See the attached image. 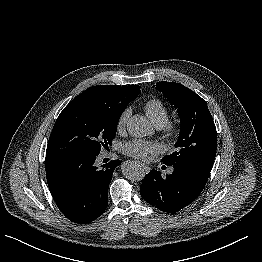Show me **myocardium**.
<instances>
[{
	"label": "myocardium",
	"instance_id": "1",
	"mask_svg": "<svg viewBox=\"0 0 262 262\" xmlns=\"http://www.w3.org/2000/svg\"><path fill=\"white\" fill-rule=\"evenodd\" d=\"M164 134L168 140L173 141L177 137L178 127L174 124H168L165 126Z\"/></svg>",
	"mask_w": 262,
	"mask_h": 262
}]
</instances>
